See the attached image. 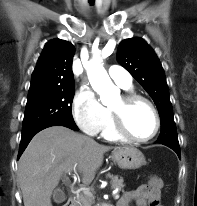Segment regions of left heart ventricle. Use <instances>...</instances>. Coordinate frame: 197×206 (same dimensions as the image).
<instances>
[{"mask_svg": "<svg viewBox=\"0 0 197 206\" xmlns=\"http://www.w3.org/2000/svg\"><path fill=\"white\" fill-rule=\"evenodd\" d=\"M112 109H121V97L110 105ZM125 123L130 133L139 138L152 134L155 127V118L151 109L142 102L134 103L124 110Z\"/></svg>", "mask_w": 197, "mask_h": 206, "instance_id": "left-heart-ventricle-1", "label": "left heart ventricle"}]
</instances>
